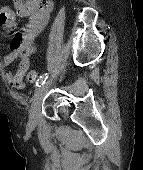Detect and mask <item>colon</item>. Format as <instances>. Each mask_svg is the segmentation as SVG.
<instances>
[{
	"mask_svg": "<svg viewBox=\"0 0 143 170\" xmlns=\"http://www.w3.org/2000/svg\"><path fill=\"white\" fill-rule=\"evenodd\" d=\"M38 78V70L33 69L28 73L27 81L29 83H34Z\"/></svg>",
	"mask_w": 143,
	"mask_h": 170,
	"instance_id": "5ec220e1",
	"label": "colon"
}]
</instances>
